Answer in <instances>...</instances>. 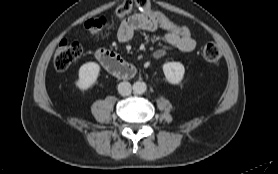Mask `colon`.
<instances>
[{
  "label": "colon",
  "mask_w": 278,
  "mask_h": 174,
  "mask_svg": "<svg viewBox=\"0 0 278 174\" xmlns=\"http://www.w3.org/2000/svg\"><path fill=\"white\" fill-rule=\"evenodd\" d=\"M135 10L153 14L163 30L172 32L182 38L192 37L187 25L174 21L168 16L152 10L148 0H126L118 7L117 17L124 18ZM106 25L107 19L103 16L91 18L85 23L86 29L91 33H99ZM81 55L82 47L79 43L64 40L59 44L55 52L54 66L59 71L66 70ZM203 58L209 64H217L221 58L219 46L213 42L207 43L203 48Z\"/></svg>",
  "instance_id": "1"
}]
</instances>
